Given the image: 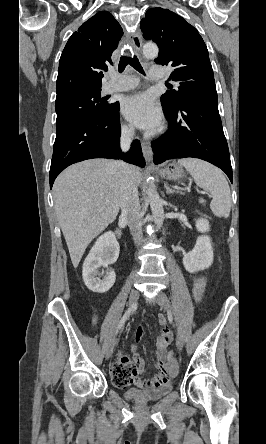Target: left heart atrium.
<instances>
[{"label":"left heart atrium","mask_w":266,"mask_h":444,"mask_svg":"<svg viewBox=\"0 0 266 444\" xmlns=\"http://www.w3.org/2000/svg\"><path fill=\"white\" fill-rule=\"evenodd\" d=\"M122 112L132 124L140 129L151 130L161 122L160 109L145 93H137L127 97L123 102Z\"/></svg>","instance_id":"39dd6f15"}]
</instances>
